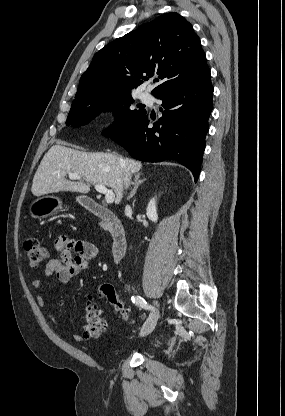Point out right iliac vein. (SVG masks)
<instances>
[{"label":"right iliac vein","instance_id":"1","mask_svg":"<svg viewBox=\"0 0 285 416\" xmlns=\"http://www.w3.org/2000/svg\"><path fill=\"white\" fill-rule=\"evenodd\" d=\"M154 304L157 307H159V302L157 300L154 301ZM158 317H159V311L154 312V313L151 314V316L148 318V320L143 325V328L140 332V336H146L154 330Z\"/></svg>","mask_w":285,"mask_h":416}]
</instances>
